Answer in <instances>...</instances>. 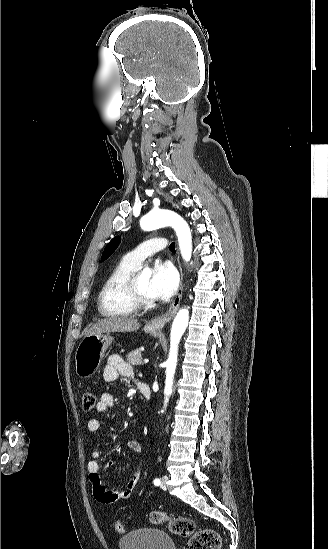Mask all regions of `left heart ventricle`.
<instances>
[{"label":"left heart ventricle","mask_w":328,"mask_h":549,"mask_svg":"<svg viewBox=\"0 0 328 549\" xmlns=\"http://www.w3.org/2000/svg\"><path fill=\"white\" fill-rule=\"evenodd\" d=\"M149 285H150V273L146 272V271H143L138 276L137 288H138L139 293L147 299H151L150 294H149Z\"/></svg>","instance_id":"obj_1"}]
</instances>
